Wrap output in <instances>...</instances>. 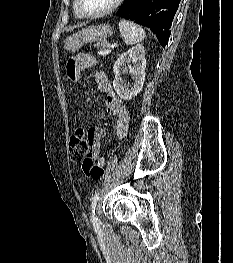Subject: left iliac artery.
<instances>
[{
  "mask_svg": "<svg viewBox=\"0 0 233 263\" xmlns=\"http://www.w3.org/2000/svg\"><path fill=\"white\" fill-rule=\"evenodd\" d=\"M98 200H99V193H96L94 197L92 198V203H91V210H92L91 220L95 228H99L98 218L95 215V207H96Z\"/></svg>",
  "mask_w": 233,
  "mask_h": 263,
  "instance_id": "1",
  "label": "left iliac artery"
}]
</instances>
